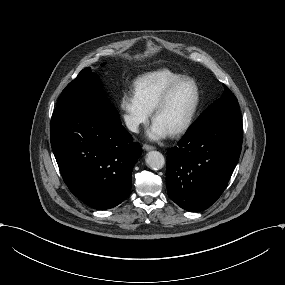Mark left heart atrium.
I'll return each mask as SVG.
<instances>
[{
	"mask_svg": "<svg viewBox=\"0 0 285 285\" xmlns=\"http://www.w3.org/2000/svg\"><path fill=\"white\" fill-rule=\"evenodd\" d=\"M170 131L159 121L154 120L147 131V136L151 140H161L169 135Z\"/></svg>",
	"mask_w": 285,
	"mask_h": 285,
	"instance_id": "39dd6f15",
	"label": "left heart atrium"
}]
</instances>
